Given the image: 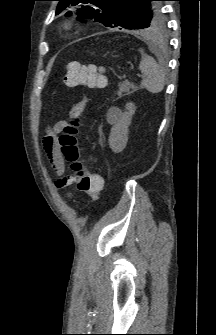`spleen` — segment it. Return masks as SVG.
Returning a JSON list of instances; mask_svg holds the SVG:
<instances>
[{
  "label": "spleen",
  "mask_w": 216,
  "mask_h": 335,
  "mask_svg": "<svg viewBox=\"0 0 216 335\" xmlns=\"http://www.w3.org/2000/svg\"><path fill=\"white\" fill-rule=\"evenodd\" d=\"M139 70L144 75L141 81V87L145 88L150 93H160L165 85L166 74L155 59L146 54L142 55L139 64Z\"/></svg>",
  "instance_id": "3e777b00"
}]
</instances>
